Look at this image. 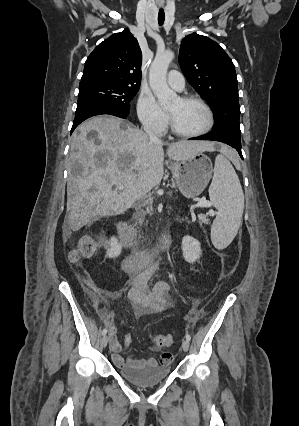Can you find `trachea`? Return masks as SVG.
<instances>
[{
  "label": "trachea",
  "instance_id": "obj_1",
  "mask_svg": "<svg viewBox=\"0 0 299 426\" xmlns=\"http://www.w3.org/2000/svg\"><path fill=\"white\" fill-rule=\"evenodd\" d=\"M164 20H165V13H164V10H163V9H160V10H159V13H158V23H159V25H160V26H161V25H163Z\"/></svg>",
  "mask_w": 299,
  "mask_h": 426
}]
</instances>
